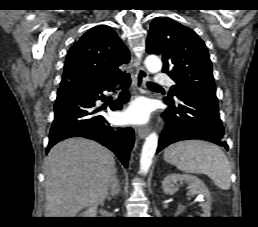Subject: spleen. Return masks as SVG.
<instances>
[{
  "mask_svg": "<svg viewBox=\"0 0 258 227\" xmlns=\"http://www.w3.org/2000/svg\"><path fill=\"white\" fill-rule=\"evenodd\" d=\"M164 159L186 173L207 175L222 189L230 188L231 166L216 145L201 140H185L168 146Z\"/></svg>",
  "mask_w": 258,
  "mask_h": 227,
  "instance_id": "1",
  "label": "spleen"
}]
</instances>
